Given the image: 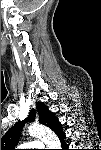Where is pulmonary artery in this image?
I'll use <instances>...</instances> for the list:
<instances>
[{"label":"pulmonary artery","mask_w":101,"mask_h":150,"mask_svg":"<svg viewBox=\"0 0 101 150\" xmlns=\"http://www.w3.org/2000/svg\"><path fill=\"white\" fill-rule=\"evenodd\" d=\"M25 147H33V148H37V147H41L42 144L38 141L35 142H30L24 145Z\"/></svg>","instance_id":"obj_1"}]
</instances>
